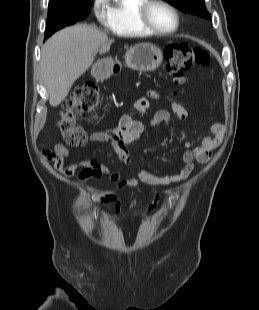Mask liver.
Instances as JSON below:
<instances>
[{"instance_id": "6515ba94", "label": "liver", "mask_w": 259, "mask_h": 310, "mask_svg": "<svg viewBox=\"0 0 259 310\" xmlns=\"http://www.w3.org/2000/svg\"><path fill=\"white\" fill-rule=\"evenodd\" d=\"M112 43L102 31L81 24L65 28L46 41L40 70L52 107L67 97L73 83L92 65L99 48L107 52Z\"/></svg>"}]
</instances>
